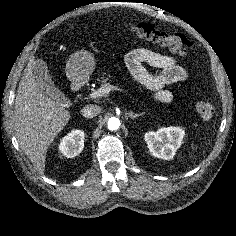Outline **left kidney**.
<instances>
[{
    "label": "left kidney",
    "instance_id": "obj_1",
    "mask_svg": "<svg viewBox=\"0 0 236 236\" xmlns=\"http://www.w3.org/2000/svg\"><path fill=\"white\" fill-rule=\"evenodd\" d=\"M185 132L180 127L160 128L145 133L144 139L150 153L157 158L171 160L180 148Z\"/></svg>",
    "mask_w": 236,
    "mask_h": 236
}]
</instances>
